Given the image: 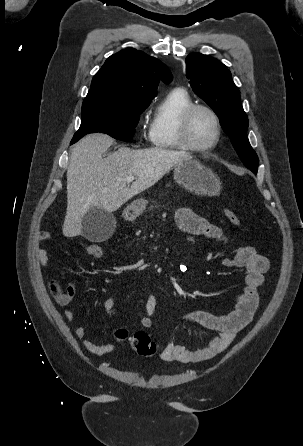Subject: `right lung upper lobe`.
Wrapping results in <instances>:
<instances>
[{"label":"right lung upper lobe","mask_w":303,"mask_h":446,"mask_svg":"<svg viewBox=\"0 0 303 446\" xmlns=\"http://www.w3.org/2000/svg\"><path fill=\"white\" fill-rule=\"evenodd\" d=\"M168 84L172 74L160 60L126 48L111 55L93 77L82 106H149L159 81Z\"/></svg>","instance_id":"1"}]
</instances>
